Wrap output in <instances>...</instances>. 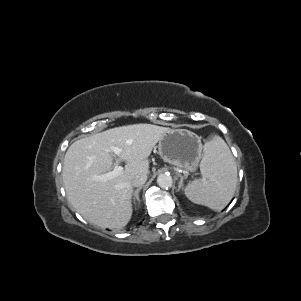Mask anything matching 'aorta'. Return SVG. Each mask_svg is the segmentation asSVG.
<instances>
[{"instance_id":"obj_1","label":"aorta","mask_w":301,"mask_h":301,"mask_svg":"<svg viewBox=\"0 0 301 301\" xmlns=\"http://www.w3.org/2000/svg\"><path fill=\"white\" fill-rule=\"evenodd\" d=\"M172 182V177L167 173L160 174L157 177V184L163 189L170 188L172 186Z\"/></svg>"}]
</instances>
